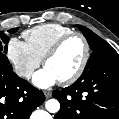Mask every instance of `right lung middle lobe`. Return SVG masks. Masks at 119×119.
Segmentation results:
<instances>
[{
    "mask_svg": "<svg viewBox=\"0 0 119 119\" xmlns=\"http://www.w3.org/2000/svg\"><path fill=\"white\" fill-rule=\"evenodd\" d=\"M17 30L18 28H13L8 30V32L13 34ZM8 42H9V38L3 32L0 31V72L11 73L13 72V69L6 56Z\"/></svg>",
    "mask_w": 119,
    "mask_h": 119,
    "instance_id": "1",
    "label": "right lung middle lobe"
}]
</instances>
